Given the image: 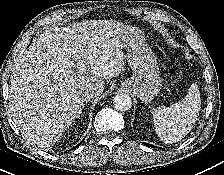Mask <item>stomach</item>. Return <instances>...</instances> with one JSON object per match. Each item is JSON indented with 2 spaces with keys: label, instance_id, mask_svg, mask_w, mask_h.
Wrapping results in <instances>:
<instances>
[{
  "label": "stomach",
  "instance_id": "1",
  "mask_svg": "<svg viewBox=\"0 0 224 175\" xmlns=\"http://www.w3.org/2000/svg\"><path fill=\"white\" fill-rule=\"evenodd\" d=\"M121 40L127 48L126 58L133 71V75L121 87L148 103L162 86L157 57L138 28L127 27Z\"/></svg>",
  "mask_w": 224,
  "mask_h": 175
}]
</instances>
